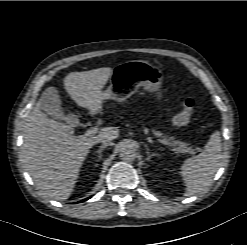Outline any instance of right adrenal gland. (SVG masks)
I'll return each instance as SVG.
<instances>
[{
	"instance_id": "1",
	"label": "right adrenal gland",
	"mask_w": 247,
	"mask_h": 245,
	"mask_svg": "<svg viewBox=\"0 0 247 245\" xmlns=\"http://www.w3.org/2000/svg\"><path fill=\"white\" fill-rule=\"evenodd\" d=\"M105 148L106 146H100L99 149L96 151V153L98 154V160L102 158V152Z\"/></svg>"
}]
</instances>
